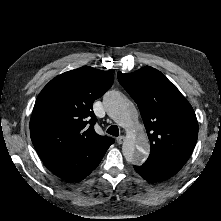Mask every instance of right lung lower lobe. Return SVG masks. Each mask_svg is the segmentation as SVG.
Returning a JSON list of instances; mask_svg holds the SVG:
<instances>
[{
    "instance_id": "1",
    "label": "right lung lower lobe",
    "mask_w": 221,
    "mask_h": 221,
    "mask_svg": "<svg viewBox=\"0 0 221 221\" xmlns=\"http://www.w3.org/2000/svg\"><path fill=\"white\" fill-rule=\"evenodd\" d=\"M110 144L99 141L87 144L44 162L55 175L69 182H79L100 163Z\"/></svg>"
}]
</instances>
